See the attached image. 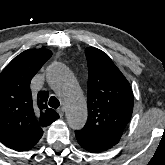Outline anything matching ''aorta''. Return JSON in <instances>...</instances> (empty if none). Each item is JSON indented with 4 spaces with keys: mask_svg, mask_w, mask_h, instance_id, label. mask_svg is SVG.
<instances>
[{
    "mask_svg": "<svg viewBox=\"0 0 165 165\" xmlns=\"http://www.w3.org/2000/svg\"><path fill=\"white\" fill-rule=\"evenodd\" d=\"M46 76L61 95L69 127L81 129L87 121V104L72 75L64 65L56 64L48 69Z\"/></svg>",
    "mask_w": 165,
    "mask_h": 165,
    "instance_id": "aorta-1",
    "label": "aorta"
}]
</instances>
